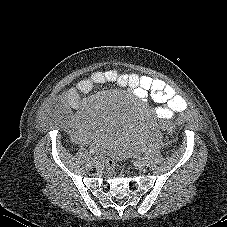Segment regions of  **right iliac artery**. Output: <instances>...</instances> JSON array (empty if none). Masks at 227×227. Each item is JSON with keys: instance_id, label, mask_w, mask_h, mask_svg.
I'll list each match as a JSON object with an SVG mask.
<instances>
[{"instance_id": "right-iliac-artery-1", "label": "right iliac artery", "mask_w": 227, "mask_h": 227, "mask_svg": "<svg viewBox=\"0 0 227 227\" xmlns=\"http://www.w3.org/2000/svg\"><path fill=\"white\" fill-rule=\"evenodd\" d=\"M90 153H91V154H94V153H95V151L91 149V150H90ZM93 160H94V161H96V160H97V157H94V159H93Z\"/></svg>"}]
</instances>
